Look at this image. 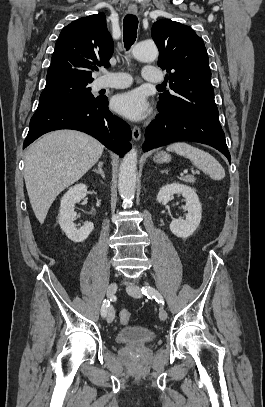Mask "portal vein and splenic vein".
<instances>
[{
    "label": "portal vein and splenic vein",
    "instance_id": "obj_1",
    "mask_svg": "<svg viewBox=\"0 0 265 407\" xmlns=\"http://www.w3.org/2000/svg\"><path fill=\"white\" fill-rule=\"evenodd\" d=\"M187 172H188L187 170H184V171H183V173H187ZM197 173L199 174V172H198V171H197Z\"/></svg>",
    "mask_w": 265,
    "mask_h": 407
}]
</instances>
